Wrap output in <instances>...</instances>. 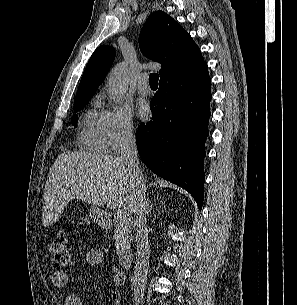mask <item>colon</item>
Listing matches in <instances>:
<instances>
[{
	"label": "colon",
	"instance_id": "obj_1",
	"mask_svg": "<svg viewBox=\"0 0 297 305\" xmlns=\"http://www.w3.org/2000/svg\"><path fill=\"white\" fill-rule=\"evenodd\" d=\"M49 254L53 265L57 268L67 267L72 263L67 236L63 231L58 232L52 239Z\"/></svg>",
	"mask_w": 297,
	"mask_h": 305
}]
</instances>
